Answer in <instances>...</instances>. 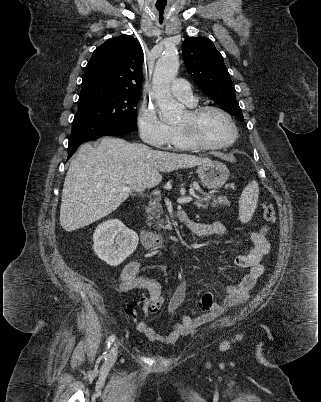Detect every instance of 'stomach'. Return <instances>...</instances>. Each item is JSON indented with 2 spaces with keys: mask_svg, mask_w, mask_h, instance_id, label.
<instances>
[{
  "mask_svg": "<svg viewBox=\"0 0 321 402\" xmlns=\"http://www.w3.org/2000/svg\"><path fill=\"white\" fill-rule=\"evenodd\" d=\"M197 173L201 183L209 189L222 187L229 176V170L226 165L218 161L201 164L197 169Z\"/></svg>",
  "mask_w": 321,
  "mask_h": 402,
  "instance_id": "obj_1",
  "label": "stomach"
}]
</instances>
